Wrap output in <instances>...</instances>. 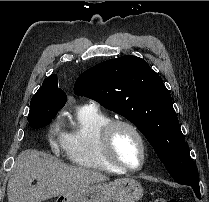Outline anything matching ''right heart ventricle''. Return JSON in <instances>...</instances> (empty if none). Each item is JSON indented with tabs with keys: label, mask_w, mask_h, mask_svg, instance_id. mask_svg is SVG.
<instances>
[{
	"label": "right heart ventricle",
	"mask_w": 209,
	"mask_h": 202,
	"mask_svg": "<svg viewBox=\"0 0 209 202\" xmlns=\"http://www.w3.org/2000/svg\"><path fill=\"white\" fill-rule=\"evenodd\" d=\"M111 118L98 109L85 106L76 117V124L66 132L63 156L74 165L86 169L121 173L111 166L99 148V138Z\"/></svg>",
	"instance_id": "right-heart-ventricle-1"
}]
</instances>
